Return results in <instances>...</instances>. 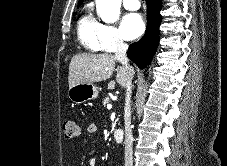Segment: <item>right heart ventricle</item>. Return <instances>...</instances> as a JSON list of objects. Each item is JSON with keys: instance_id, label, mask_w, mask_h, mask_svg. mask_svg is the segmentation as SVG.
I'll return each mask as SVG.
<instances>
[{"instance_id": "1", "label": "right heart ventricle", "mask_w": 227, "mask_h": 166, "mask_svg": "<svg viewBox=\"0 0 227 166\" xmlns=\"http://www.w3.org/2000/svg\"><path fill=\"white\" fill-rule=\"evenodd\" d=\"M101 30L102 24L90 11L81 15L77 23V36L84 49L90 52L103 50Z\"/></svg>"}]
</instances>
